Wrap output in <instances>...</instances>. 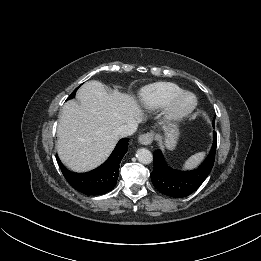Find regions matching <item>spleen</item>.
<instances>
[{"label": "spleen", "instance_id": "1", "mask_svg": "<svg viewBox=\"0 0 261 261\" xmlns=\"http://www.w3.org/2000/svg\"><path fill=\"white\" fill-rule=\"evenodd\" d=\"M205 152H199L187 159V161L184 164V169H193L197 167L201 161L204 159Z\"/></svg>", "mask_w": 261, "mask_h": 261}]
</instances>
